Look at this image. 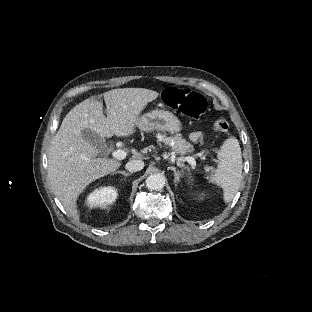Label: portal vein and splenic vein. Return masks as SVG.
<instances>
[{
	"instance_id": "obj_1",
	"label": "portal vein and splenic vein",
	"mask_w": 312,
	"mask_h": 312,
	"mask_svg": "<svg viewBox=\"0 0 312 312\" xmlns=\"http://www.w3.org/2000/svg\"><path fill=\"white\" fill-rule=\"evenodd\" d=\"M113 157L118 159V160H123L126 158L127 153L124 150H116L112 153ZM185 161H187L192 167L196 166V161L193 157L187 156L183 158Z\"/></svg>"
}]
</instances>
